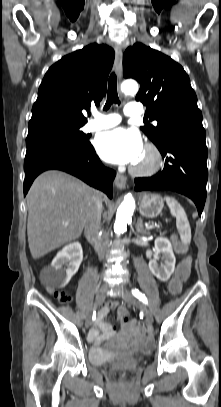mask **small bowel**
I'll return each mask as SVG.
<instances>
[{"instance_id": "c3829d8e", "label": "small bowel", "mask_w": 221, "mask_h": 407, "mask_svg": "<svg viewBox=\"0 0 221 407\" xmlns=\"http://www.w3.org/2000/svg\"><path fill=\"white\" fill-rule=\"evenodd\" d=\"M118 306L117 302H112L105 305L99 312L96 325L89 334V340L94 344H100L103 340L114 336L117 333L116 326L106 322V317L111 309H115ZM122 332L129 333L131 330H124L121 327Z\"/></svg>"}]
</instances>
